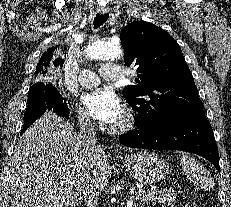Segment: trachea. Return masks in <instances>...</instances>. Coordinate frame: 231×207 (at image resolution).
<instances>
[{
	"instance_id": "obj_1",
	"label": "trachea",
	"mask_w": 231,
	"mask_h": 207,
	"mask_svg": "<svg viewBox=\"0 0 231 207\" xmlns=\"http://www.w3.org/2000/svg\"><path fill=\"white\" fill-rule=\"evenodd\" d=\"M108 18L109 14H97L93 22L94 28H99Z\"/></svg>"
}]
</instances>
